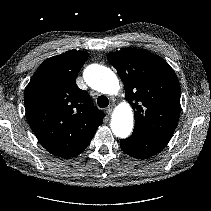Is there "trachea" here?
<instances>
[{
    "label": "trachea",
    "instance_id": "obj_1",
    "mask_svg": "<svg viewBox=\"0 0 211 211\" xmlns=\"http://www.w3.org/2000/svg\"><path fill=\"white\" fill-rule=\"evenodd\" d=\"M97 104L100 108H106L109 105V99L101 95L97 98Z\"/></svg>",
    "mask_w": 211,
    "mask_h": 211
}]
</instances>
